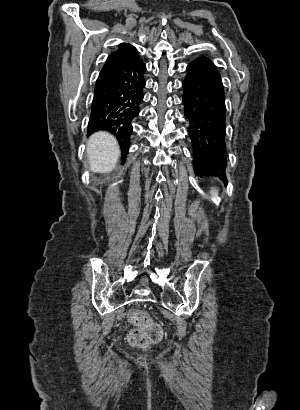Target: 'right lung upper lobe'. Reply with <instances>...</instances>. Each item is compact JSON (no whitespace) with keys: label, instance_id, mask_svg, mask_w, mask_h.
Returning a JSON list of instances; mask_svg holds the SVG:
<instances>
[{"label":"right lung upper lobe","instance_id":"obj_1","mask_svg":"<svg viewBox=\"0 0 300 410\" xmlns=\"http://www.w3.org/2000/svg\"><path fill=\"white\" fill-rule=\"evenodd\" d=\"M139 58L138 51L135 47L130 44L122 43L119 45L118 49L111 53L103 68H107L111 65L117 64L130 59Z\"/></svg>","mask_w":300,"mask_h":410}]
</instances>
